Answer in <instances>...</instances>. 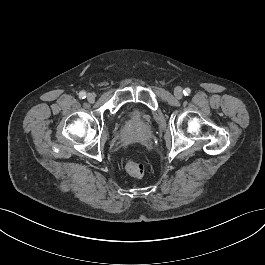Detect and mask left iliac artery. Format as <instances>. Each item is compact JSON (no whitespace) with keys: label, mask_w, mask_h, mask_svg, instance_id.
<instances>
[{"label":"left iliac artery","mask_w":265,"mask_h":265,"mask_svg":"<svg viewBox=\"0 0 265 265\" xmlns=\"http://www.w3.org/2000/svg\"><path fill=\"white\" fill-rule=\"evenodd\" d=\"M184 95H189L191 93V90L189 88H186L185 90H183Z\"/></svg>","instance_id":"obj_1"}]
</instances>
